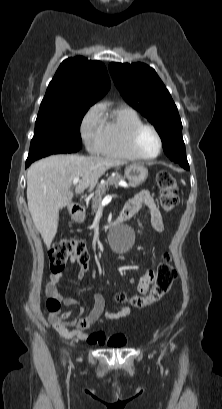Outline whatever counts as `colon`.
<instances>
[{"label":"colon","instance_id":"5ec220e1","mask_svg":"<svg viewBox=\"0 0 222 409\" xmlns=\"http://www.w3.org/2000/svg\"><path fill=\"white\" fill-rule=\"evenodd\" d=\"M157 187L159 190V204L164 212H171L179 203V191L175 177L167 172L158 173ZM74 257L79 265L85 270L89 266L90 253L84 241L79 239H62L55 243L49 251L50 270L53 274L62 272L68 261ZM155 270L156 277L149 287L141 286L138 293L128 298L125 293H119L116 299L121 302L129 301L133 307L143 308L158 300L168 291L176 277V270L171 264L170 257L165 256L162 263ZM147 290L146 296L140 295V289ZM51 314L60 310V302L55 298H49L46 303Z\"/></svg>","mask_w":222,"mask_h":409}]
</instances>
